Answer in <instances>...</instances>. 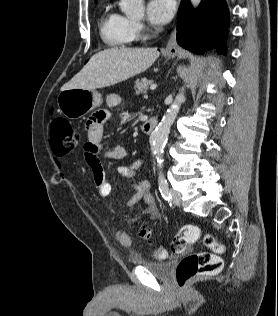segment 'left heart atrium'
<instances>
[{
  "label": "left heart atrium",
  "instance_id": "obj_1",
  "mask_svg": "<svg viewBox=\"0 0 278 316\" xmlns=\"http://www.w3.org/2000/svg\"><path fill=\"white\" fill-rule=\"evenodd\" d=\"M174 12L173 0H149L146 6V15L153 25L167 23Z\"/></svg>",
  "mask_w": 278,
  "mask_h": 316
}]
</instances>
